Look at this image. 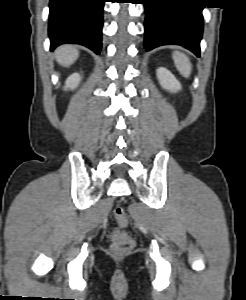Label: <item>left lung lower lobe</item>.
I'll use <instances>...</instances> for the list:
<instances>
[{
  "instance_id": "left-lung-lower-lobe-1",
  "label": "left lung lower lobe",
  "mask_w": 246,
  "mask_h": 300,
  "mask_svg": "<svg viewBox=\"0 0 246 300\" xmlns=\"http://www.w3.org/2000/svg\"><path fill=\"white\" fill-rule=\"evenodd\" d=\"M145 40L149 51L161 45H181L200 56L203 6L197 0H144Z\"/></svg>"
}]
</instances>
